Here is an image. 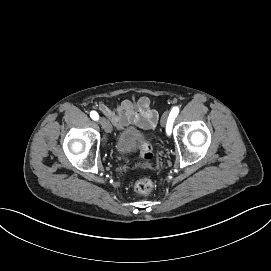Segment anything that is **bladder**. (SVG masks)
<instances>
[{"instance_id": "31cf9c89", "label": "bladder", "mask_w": 271, "mask_h": 271, "mask_svg": "<svg viewBox=\"0 0 271 271\" xmlns=\"http://www.w3.org/2000/svg\"><path fill=\"white\" fill-rule=\"evenodd\" d=\"M143 139L134 125L123 128L116 139V149L121 156H128L144 149L140 144Z\"/></svg>"}]
</instances>
